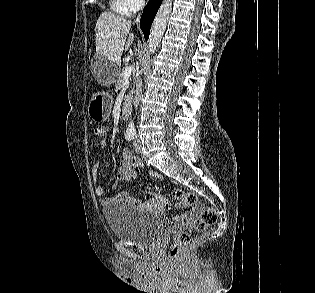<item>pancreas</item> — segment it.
<instances>
[{"instance_id":"pancreas-1","label":"pancreas","mask_w":315,"mask_h":293,"mask_svg":"<svg viewBox=\"0 0 315 293\" xmlns=\"http://www.w3.org/2000/svg\"><path fill=\"white\" fill-rule=\"evenodd\" d=\"M122 82H123V77H122V75L119 73V74H118V80H117V86H116L118 89L121 87Z\"/></svg>"}]
</instances>
